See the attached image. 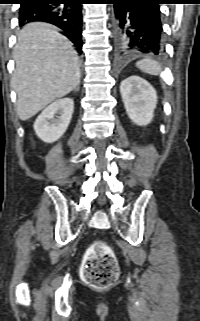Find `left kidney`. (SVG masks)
Listing matches in <instances>:
<instances>
[{
  "mask_svg": "<svg viewBox=\"0 0 200 321\" xmlns=\"http://www.w3.org/2000/svg\"><path fill=\"white\" fill-rule=\"evenodd\" d=\"M121 97L128 117L139 126L148 125L157 104V93L145 79L133 75L120 84Z\"/></svg>",
  "mask_w": 200,
  "mask_h": 321,
  "instance_id": "1",
  "label": "left kidney"
}]
</instances>
